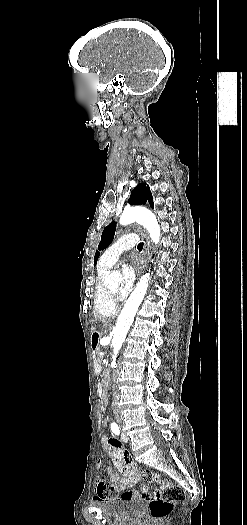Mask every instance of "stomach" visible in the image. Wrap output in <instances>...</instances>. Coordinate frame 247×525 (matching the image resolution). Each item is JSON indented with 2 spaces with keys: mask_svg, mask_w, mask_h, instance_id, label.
Returning a JSON list of instances; mask_svg holds the SVG:
<instances>
[{
  "mask_svg": "<svg viewBox=\"0 0 247 525\" xmlns=\"http://www.w3.org/2000/svg\"><path fill=\"white\" fill-rule=\"evenodd\" d=\"M98 339H99V333L98 332H94L93 335H92V342H93L94 345L97 344Z\"/></svg>",
  "mask_w": 247,
  "mask_h": 525,
  "instance_id": "stomach-1",
  "label": "stomach"
}]
</instances>
